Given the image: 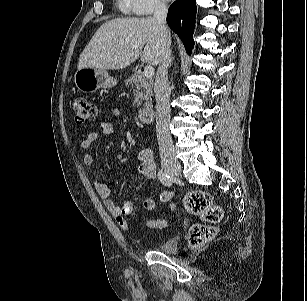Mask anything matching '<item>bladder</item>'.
<instances>
[{
    "instance_id": "bladder-1",
    "label": "bladder",
    "mask_w": 307,
    "mask_h": 301,
    "mask_svg": "<svg viewBox=\"0 0 307 301\" xmlns=\"http://www.w3.org/2000/svg\"><path fill=\"white\" fill-rule=\"evenodd\" d=\"M179 239L178 237L172 236L163 240L159 246L158 251L164 253H173L178 248Z\"/></svg>"
}]
</instances>
